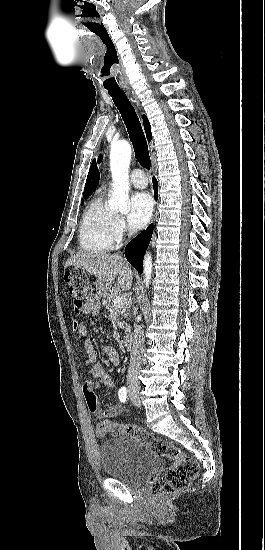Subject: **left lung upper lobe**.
Here are the masks:
<instances>
[{
    "label": "left lung upper lobe",
    "instance_id": "5c2ea615",
    "mask_svg": "<svg viewBox=\"0 0 265 550\" xmlns=\"http://www.w3.org/2000/svg\"><path fill=\"white\" fill-rule=\"evenodd\" d=\"M101 158H102V155H100V156H99V158H98V162H100V161H101Z\"/></svg>",
    "mask_w": 265,
    "mask_h": 550
}]
</instances>
